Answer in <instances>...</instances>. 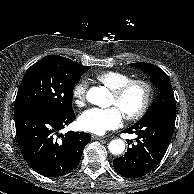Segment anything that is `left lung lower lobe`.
Masks as SVG:
<instances>
[{
    "instance_id": "obj_1",
    "label": "left lung lower lobe",
    "mask_w": 194,
    "mask_h": 194,
    "mask_svg": "<svg viewBox=\"0 0 194 194\" xmlns=\"http://www.w3.org/2000/svg\"><path fill=\"white\" fill-rule=\"evenodd\" d=\"M176 105L157 107L147 112L124 133L138 135L137 145L113 161L115 170L127 178L142 177L162 160L175 127Z\"/></svg>"
}]
</instances>
